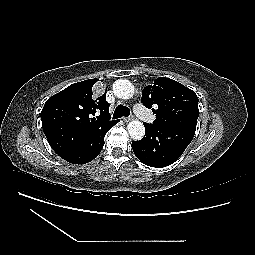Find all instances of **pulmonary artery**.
I'll list each match as a JSON object with an SVG mask.
<instances>
[{
	"mask_svg": "<svg viewBox=\"0 0 255 255\" xmlns=\"http://www.w3.org/2000/svg\"><path fill=\"white\" fill-rule=\"evenodd\" d=\"M134 113L141 119L152 122L154 117L152 114L146 111V109L139 103L134 104L133 106Z\"/></svg>",
	"mask_w": 255,
	"mask_h": 255,
	"instance_id": "obj_1",
	"label": "pulmonary artery"
}]
</instances>
